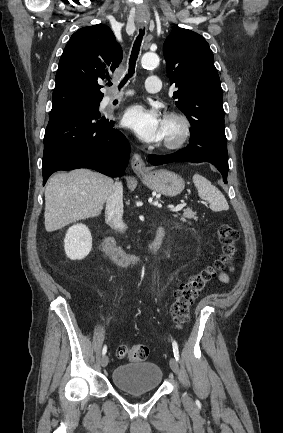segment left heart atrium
I'll list each match as a JSON object with an SVG mask.
<instances>
[{"instance_id": "39dd6f15", "label": "left heart atrium", "mask_w": 283, "mask_h": 433, "mask_svg": "<svg viewBox=\"0 0 283 433\" xmlns=\"http://www.w3.org/2000/svg\"><path fill=\"white\" fill-rule=\"evenodd\" d=\"M156 111L146 105L131 106L124 113V124L142 142L159 144L165 140V128L164 119Z\"/></svg>"}]
</instances>
